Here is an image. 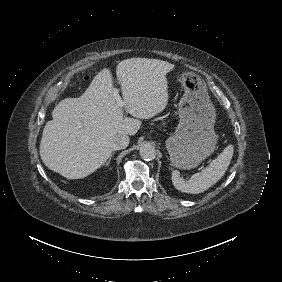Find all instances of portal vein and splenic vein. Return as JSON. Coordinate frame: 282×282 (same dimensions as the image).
I'll return each instance as SVG.
<instances>
[{
	"label": "portal vein and splenic vein",
	"mask_w": 282,
	"mask_h": 282,
	"mask_svg": "<svg viewBox=\"0 0 282 282\" xmlns=\"http://www.w3.org/2000/svg\"><path fill=\"white\" fill-rule=\"evenodd\" d=\"M114 96H115V99H116V102H117L118 106L122 107L124 105V102L121 99L120 95L118 94V90L117 89H115V91H114Z\"/></svg>",
	"instance_id": "18ae733b"
}]
</instances>
